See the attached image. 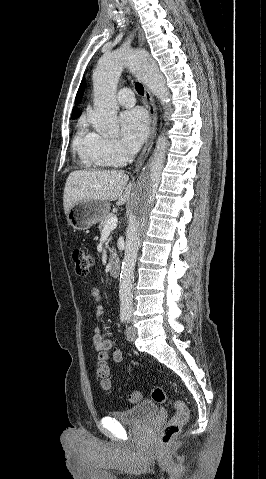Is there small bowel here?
<instances>
[{"instance_id": "small-bowel-1", "label": "small bowel", "mask_w": 266, "mask_h": 479, "mask_svg": "<svg viewBox=\"0 0 266 479\" xmlns=\"http://www.w3.org/2000/svg\"><path fill=\"white\" fill-rule=\"evenodd\" d=\"M92 295L95 299L100 298V292L97 288L92 289ZM104 308L101 305L96 306L94 310V319L99 322L104 316ZM94 347L99 352H104L109 355L114 362H121L123 359V353L119 349L115 348V341L113 339L104 336L102 328L99 324L94 327L93 337Z\"/></svg>"}]
</instances>
